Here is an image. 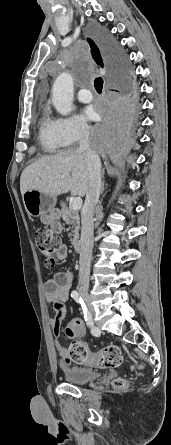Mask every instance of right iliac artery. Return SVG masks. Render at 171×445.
Returning <instances> with one entry per match:
<instances>
[{"label":"right iliac artery","instance_id":"82829eb1","mask_svg":"<svg viewBox=\"0 0 171 445\" xmlns=\"http://www.w3.org/2000/svg\"><path fill=\"white\" fill-rule=\"evenodd\" d=\"M71 297L79 304H81L83 312H84V317H85V321L87 322V325L90 327L92 325V317L91 315L88 313L86 305L84 304V301L81 297V295L77 292V291H72L71 293Z\"/></svg>","mask_w":171,"mask_h":445}]
</instances>
